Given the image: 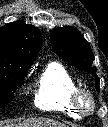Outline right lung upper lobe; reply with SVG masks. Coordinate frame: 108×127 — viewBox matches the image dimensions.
<instances>
[{"mask_svg": "<svg viewBox=\"0 0 108 127\" xmlns=\"http://www.w3.org/2000/svg\"><path fill=\"white\" fill-rule=\"evenodd\" d=\"M41 43L40 30L23 21L8 23L0 28V57L32 65Z\"/></svg>", "mask_w": 108, "mask_h": 127, "instance_id": "obj_1", "label": "right lung upper lobe"}]
</instances>
